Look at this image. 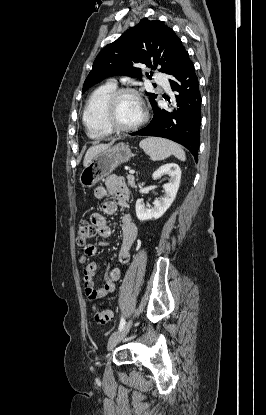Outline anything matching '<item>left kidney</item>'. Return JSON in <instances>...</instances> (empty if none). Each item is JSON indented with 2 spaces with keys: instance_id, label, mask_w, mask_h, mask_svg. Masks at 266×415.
Instances as JSON below:
<instances>
[{
  "instance_id": "left-kidney-1",
  "label": "left kidney",
  "mask_w": 266,
  "mask_h": 415,
  "mask_svg": "<svg viewBox=\"0 0 266 415\" xmlns=\"http://www.w3.org/2000/svg\"><path fill=\"white\" fill-rule=\"evenodd\" d=\"M163 174L169 176V182L164 186V197L155 200L152 208L145 207L142 199H138L136 202V216L140 221L160 218L169 209L176 197L181 179L180 167L175 163H168L159 167L152 176L156 178Z\"/></svg>"
}]
</instances>
